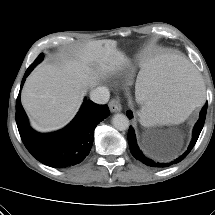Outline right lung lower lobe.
Returning a JSON list of instances; mask_svg holds the SVG:
<instances>
[{
    "mask_svg": "<svg viewBox=\"0 0 215 215\" xmlns=\"http://www.w3.org/2000/svg\"><path fill=\"white\" fill-rule=\"evenodd\" d=\"M32 69H27L21 88ZM109 114L107 105L85 100L68 126L54 133L40 134L28 125L20 94L16 101V123L25 147L38 161L54 168H64L83 161L92 147L95 127Z\"/></svg>",
    "mask_w": 215,
    "mask_h": 215,
    "instance_id": "98d812e1",
    "label": "right lung lower lobe"
}]
</instances>
